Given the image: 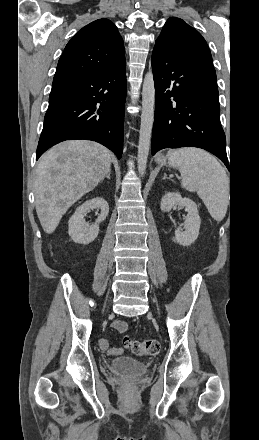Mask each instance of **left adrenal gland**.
<instances>
[{
	"mask_svg": "<svg viewBox=\"0 0 259 440\" xmlns=\"http://www.w3.org/2000/svg\"><path fill=\"white\" fill-rule=\"evenodd\" d=\"M163 179H170V180H171V178L167 177V174H166V173H164V177H163Z\"/></svg>",
	"mask_w": 259,
	"mask_h": 440,
	"instance_id": "left-adrenal-gland-1",
	"label": "left adrenal gland"
}]
</instances>
